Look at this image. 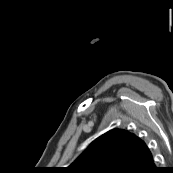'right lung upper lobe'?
Here are the masks:
<instances>
[{
  "label": "right lung upper lobe",
  "instance_id": "1",
  "mask_svg": "<svg viewBox=\"0 0 173 173\" xmlns=\"http://www.w3.org/2000/svg\"><path fill=\"white\" fill-rule=\"evenodd\" d=\"M151 155L136 135L121 129L103 134L65 169L66 173H124Z\"/></svg>",
  "mask_w": 173,
  "mask_h": 173
}]
</instances>
